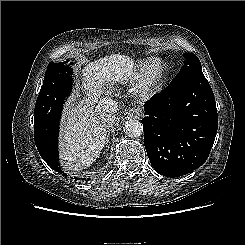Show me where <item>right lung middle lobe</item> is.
<instances>
[{"instance_id":"right-lung-middle-lobe-1","label":"right lung middle lobe","mask_w":245,"mask_h":245,"mask_svg":"<svg viewBox=\"0 0 245 245\" xmlns=\"http://www.w3.org/2000/svg\"><path fill=\"white\" fill-rule=\"evenodd\" d=\"M68 61L49 63L36 101L34 115L41 119L59 118L63 104L73 86L72 68Z\"/></svg>"}]
</instances>
